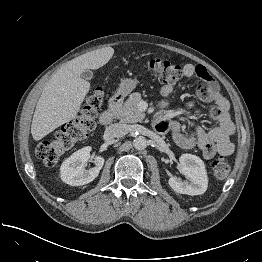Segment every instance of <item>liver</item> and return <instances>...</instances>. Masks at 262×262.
<instances>
[{"label":"liver","instance_id":"1","mask_svg":"<svg viewBox=\"0 0 262 262\" xmlns=\"http://www.w3.org/2000/svg\"><path fill=\"white\" fill-rule=\"evenodd\" d=\"M114 54L112 47L87 52L67 62L44 87L33 115L31 134L39 141L64 123L77 117L80 106L90 89L81 78L86 69H99Z\"/></svg>","mask_w":262,"mask_h":262}]
</instances>
